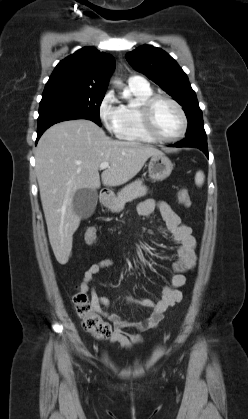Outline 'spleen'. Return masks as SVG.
I'll use <instances>...</instances> for the list:
<instances>
[{"label": "spleen", "mask_w": 248, "mask_h": 419, "mask_svg": "<svg viewBox=\"0 0 248 419\" xmlns=\"http://www.w3.org/2000/svg\"><path fill=\"white\" fill-rule=\"evenodd\" d=\"M204 179H205V176L203 172L198 171L195 175V184L199 187L202 186V184L204 183Z\"/></svg>", "instance_id": "3e777b00"}]
</instances>
